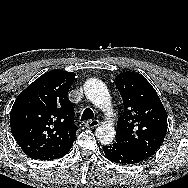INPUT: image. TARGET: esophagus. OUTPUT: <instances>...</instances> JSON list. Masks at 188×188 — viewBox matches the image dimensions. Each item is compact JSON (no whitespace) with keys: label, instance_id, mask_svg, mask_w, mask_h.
<instances>
[{"label":"esophagus","instance_id":"obj_1","mask_svg":"<svg viewBox=\"0 0 188 188\" xmlns=\"http://www.w3.org/2000/svg\"><path fill=\"white\" fill-rule=\"evenodd\" d=\"M99 125V121L94 119V120H87L85 122V126L88 128H94L97 127Z\"/></svg>","mask_w":188,"mask_h":188}]
</instances>
